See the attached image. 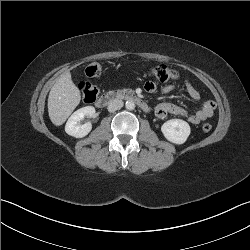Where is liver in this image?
I'll use <instances>...</instances> for the list:
<instances>
[{
  "label": "liver",
  "mask_w": 250,
  "mask_h": 250,
  "mask_svg": "<svg viewBox=\"0 0 250 250\" xmlns=\"http://www.w3.org/2000/svg\"><path fill=\"white\" fill-rule=\"evenodd\" d=\"M81 94L73 83L70 72L62 74L52 86L48 97V113L51 122L62 125L78 106Z\"/></svg>",
  "instance_id": "obj_1"
}]
</instances>
